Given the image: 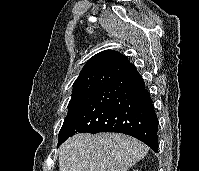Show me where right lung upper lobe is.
<instances>
[{
    "instance_id": "cb5924a9",
    "label": "right lung upper lobe",
    "mask_w": 199,
    "mask_h": 171,
    "mask_svg": "<svg viewBox=\"0 0 199 171\" xmlns=\"http://www.w3.org/2000/svg\"><path fill=\"white\" fill-rule=\"evenodd\" d=\"M133 67L130 61L122 54L114 50L102 51L94 55L84 65L73 87L83 81L98 75L116 76L119 73Z\"/></svg>"
}]
</instances>
